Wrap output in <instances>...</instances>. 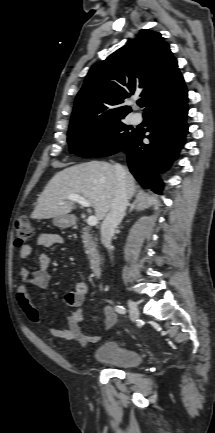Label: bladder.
Instances as JSON below:
<instances>
[{
  "mask_svg": "<svg viewBox=\"0 0 215 433\" xmlns=\"http://www.w3.org/2000/svg\"><path fill=\"white\" fill-rule=\"evenodd\" d=\"M92 359L125 369L138 367L143 360L138 351L115 341H108L98 346L92 354Z\"/></svg>",
  "mask_w": 215,
  "mask_h": 433,
  "instance_id": "obj_1",
  "label": "bladder"
}]
</instances>
